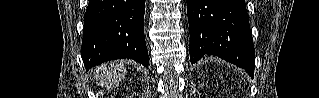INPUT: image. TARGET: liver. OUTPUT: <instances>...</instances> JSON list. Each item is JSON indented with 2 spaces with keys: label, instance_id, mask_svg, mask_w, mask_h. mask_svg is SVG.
<instances>
[{
  "label": "liver",
  "instance_id": "liver-1",
  "mask_svg": "<svg viewBox=\"0 0 319 98\" xmlns=\"http://www.w3.org/2000/svg\"><path fill=\"white\" fill-rule=\"evenodd\" d=\"M126 68L122 62L102 64L94 71L96 84L107 89L116 88L124 79Z\"/></svg>",
  "mask_w": 319,
  "mask_h": 98
}]
</instances>
